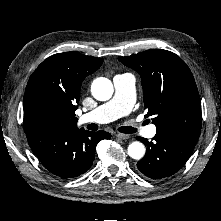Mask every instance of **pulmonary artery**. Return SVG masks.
I'll return each mask as SVG.
<instances>
[{
    "label": "pulmonary artery",
    "instance_id": "pulmonary-artery-1",
    "mask_svg": "<svg viewBox=\"0 0 221 221\" xmlns=\"http://www.w3.org/2000/svg\"><path fill=\"white\" fill-rule=\"evenodd\" d=\"M115 94L113 98L100 105L93 111L86 113L79 118L81 124L85 123H107L127 115L135 101V78L132 74L125 73L116 75L113 79ZM149 138L156 134L155 125L145 128H137Z\"/></svg>",
    "mask_w": 221,
    "mask_h": 221
}]
</instances>
